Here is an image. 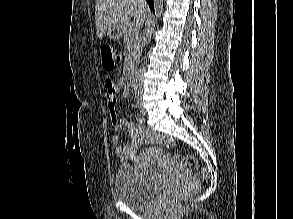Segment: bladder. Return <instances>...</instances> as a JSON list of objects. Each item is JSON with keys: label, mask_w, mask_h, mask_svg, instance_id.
Wrapping results in <instances>:
<instances>
[{"label": "bladder", "mask_w": 293, "mask_h": 219, "mask_svg": "<svg viewBox=\"0 0 293 219\" xmlns=\"http://www.w3.org/2000/svg\"><path fill=\"white\" fill-rule=\"evenodd\" d=\"M166 188V182L149 181L131 165L121 166L115 176L116 199L131 208L150 206L162 197Z\"/></svg>", "instance_id": "bladder-1"}]
</instances>
